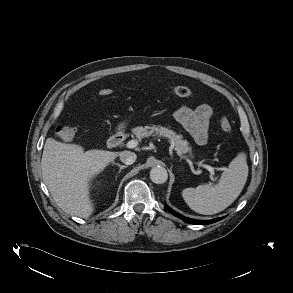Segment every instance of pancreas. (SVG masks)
I'll list each match as a JSON object with an SVG mask.
<instances>
[{"label":"pancreas","mask_w":293,"mask_h":293,"mask_svg":"<svg viewBox=\"0 0 293 293\" xmlns=\"http://www.w3.org/2000/svg\"><path fill=\"white\" fill-rule=\"evenodd\" d=\"M132 133L138 138H144L151 135L168 138L170 143L175 147V150L181 153H190L191 147L186 140L182 139V135L177 134L173 130L163 126H138L132 129Z\"/></svg>","instance_id":"cf45deb5"}]
</instances>
